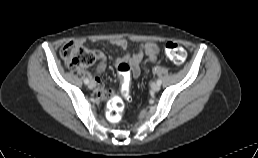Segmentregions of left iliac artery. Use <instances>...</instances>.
<instances>
[{"label":"left iliac artery","mask_w":258,"mask_h":158,"mask_svg":"<svg viewBox=\"0 0 258 158\" xmlns=\"http://www.w3.org/2000/svg\"><path fill=\"white\" fill-rule=\"evenodd\" d=\"M157 83L161 85L162 81L160 79L157 80Z\"/></svg>","instance_id":"obj_1"}]
</instances>
